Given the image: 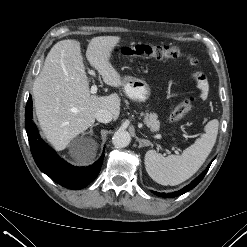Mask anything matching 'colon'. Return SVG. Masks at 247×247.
<instances>
[{"label": "colon", "instance_id": "1", "mask_svg": "<svg viewBox=\"0 0 247 247\" xmlns=\"http://www.w3.org/2000/svg\"><path fill=\"white\" fill-rule=\"evenodd\" d=\"M117 52L128 57L149 59H176L182 56H186L191 64H197L196 58L184 54L180 48L171 45L136 44L121 47L117 49ZM194 101V96H184L173 109L170 116L171 120L174 122L182 121L191 110Z\"/></svg>", "mask_w": 247, "mask_h": 247}]
</instances>
